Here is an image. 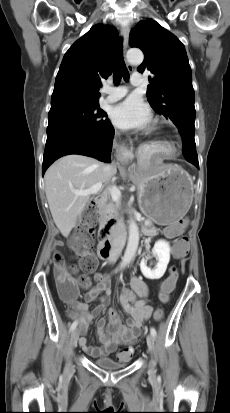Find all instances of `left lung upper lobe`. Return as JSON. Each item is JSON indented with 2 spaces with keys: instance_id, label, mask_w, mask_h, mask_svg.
I'll list each match as a JSON object with an SVG mask.
<instances>
[{
  "instance_id": "5c2ea615",
  "label": "left lung upper lobe",
  "mask_w": 230,
  "mask_h": 413,
  "mask_svg": "<svg viewBox=\"0 0 230 413\" xmlns=\"http://www.w3.org/2000/svg\"><path fill=\"white\" fill-rule=\"evenodd\" d=\"M129 42L144 53V61L137 70L152 74L146 93L152 108L172 120L181 136L186 132L194 135L195 98L184 45L150 18L131 30Z\"/></svg>"
}]
</instances>
